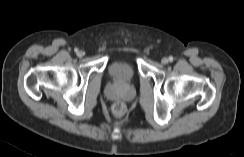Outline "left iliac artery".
<instances>
[{
  "label": "left iliac artery",
  "instance_id": "obj_1",
  "mask_svg": "<svg viewBox=\"0 0 244 157\" xmlns=\"http://www.w3.org/2000/svg\"><path fill=\"white\" fill-rule=\"evenodd\" d=\"M169 61H170V62L173 61V57H172V56L169 57Z\"/></svg>",
  "mask_w": 244,
  "mask_h": 157
}]
</instances>
